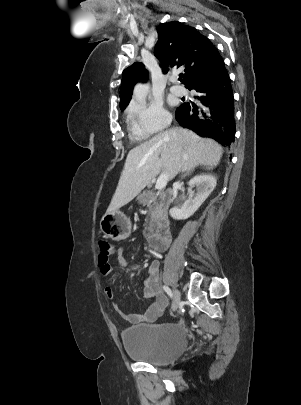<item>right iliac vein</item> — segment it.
Returning <instances> with one entry per match:
<instances>
[{
    "label": "right iliac vein",
    "instance_id": "right-iliac-vein-1",
    "mask_svg": "<svg viewBox=\"0 0 301 405\" xmlns=\"http://www.w3.org/2000/svg\"><path fill=\"white\" fill-rule=\"evenodd\" d=\"M173 293H174V298H173V303H172V310L175 311L178 309L179 304H180V292L177 289H174Z\"/></svg>",
    "mask_w": 301,
    "mask_h": 405
}]
</instances>
